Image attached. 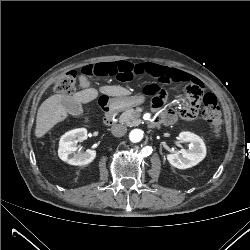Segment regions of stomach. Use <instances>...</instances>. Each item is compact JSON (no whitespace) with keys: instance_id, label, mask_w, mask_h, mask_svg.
<instances>
[{"instance_id":"1","label":"stomach","mask_w":250,"mask_h":250,"mask_svg":"<svg viewBox=\"0 0 250 250\" xmlns=\"http://www.w3.org/2000/svg\"><path fill=\"white\" fill-rule=\"evenodd\" d=\"M145 101L143 95L114 98L111 103L118 109H126L142 104Z\"/></svg>"}]
</instances>
